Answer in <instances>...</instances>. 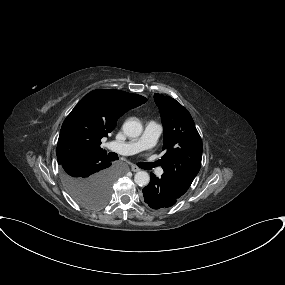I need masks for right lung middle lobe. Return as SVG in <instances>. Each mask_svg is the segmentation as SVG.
I'll use <instances>...</instances> for the list:
<instances>
[{"label":"right lung middle lobe","mask_w":285,"mask_h":285,"mask_svg":"<svg viewBox=\"0 0 285 285\" xmlns=\"http://www.w3.org/2000/svg\"><path fill=\"white\" fill-rule=\"evenodd\" d=\"M62 180L70 196L88 208L103 206L110 198L114 179L83 180L67 176L62 171Z\"/></svg>","instance_id":"dd1d6c3e"}]
</instances>
